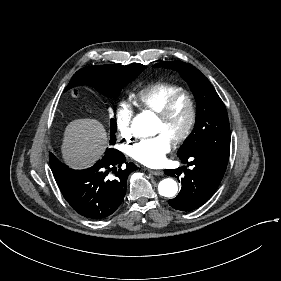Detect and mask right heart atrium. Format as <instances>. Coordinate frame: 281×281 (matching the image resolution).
<instances>
[{
  "label": "right heart atrium",
  "instance_id": "1",
  "mask_svg": "<svg viewBox=\"0 0 281 281\" xmlns=\"http://www.w3.org/2000/svg\"><path fill=\"white\" fill-rule=\"evenodd\" d=\"M115 124L118 133L125 140L123 150L128 152V143L133 139L139 137L141 128L137 126L133 120V110L130 104L121 100L116 105L115 110Z\"/></svg>",
  "mask_w": 281,
  "mask_h": 281
}]
</instances>
